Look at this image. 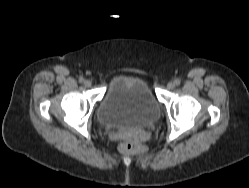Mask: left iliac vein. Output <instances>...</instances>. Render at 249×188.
Wrapping results in <instances>:
<instances>
[{"mask_svg":"<svg viewBox=\"0 0 249 188\" xmlns=\"http://www.w3.org/2000/svg\"><path fill=\"white\" fill-rule=\"evenodd\" d=\"M174 87H175V84H174L173 82H169V83L167 84V88H168L169 90H172Z\"/></svg>","mask_w":249,"mask_h":188,"instance_id":"4c4485c4","label":"left iliac vein"}]
</instances>
